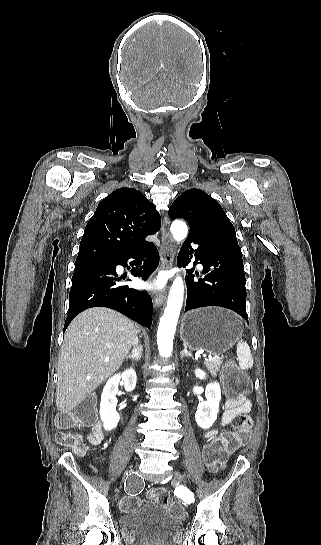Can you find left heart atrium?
Masks as SVG:
<instances>
[{"mask_svg": "<svg viewBox=\"0 0 321 545\" xmlns=\"http://www.w3.org/2000/svg\"><path fill=\"white\" fill-rule=\"evenodd\" d=\"M163 286V280H157L150 284V287L153 289L161 288Z\"/></svg>", "mask_w": 321, "mask_h": 545, "instance_id": "39dd6f15", "label": "left heart atrium"}]
</instances>
